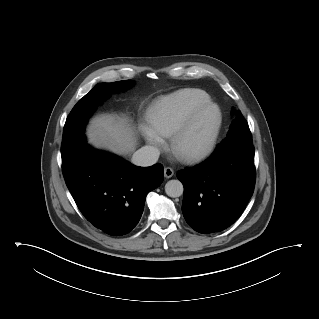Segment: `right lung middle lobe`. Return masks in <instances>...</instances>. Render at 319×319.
Returning a JSON list of instances; mask_svg holds the SVG:
<instances>
[{"mask_svg": "<svg viewBox=\"0 0 319 319\" xmlns=\"http://www.w3.org/2000/svg\"><path fill=\"white\" fill-rule=\"evenodd\" d=\"M132 83L131 80L101 83L79 100L70 112L64 126L61 155H65L79 139L84 137L85 125L99 102L104 100L110 93L130 88Z\"/></svg>", "mask_w": 319, "mask_h": 319, "instance_id": "1", "label": "right lung middle lobe"}]
</instances>
